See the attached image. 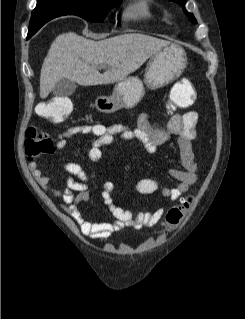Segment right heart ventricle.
Segmentation results:
<instances>
[{
    "label": "right heart ventricle",
    "mask_w": 245,
    "mask_h": 319,
    "mask_svg": "<svg viewBox=\"0 0 245 319\" xmlns=\"http://www.w3.org/2000/svg\"><path fill=\"white\" fill-rule=\"evenodd\" d=\"M152 14L153 11L150 0H136L130 4L124 12L126 18L133 20L147 19L150 18Z\"/></svg>",
    "instance_id": "obj_1"
}]
</instances>
